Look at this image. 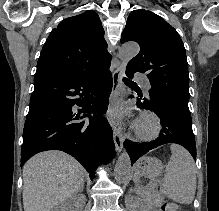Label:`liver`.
I'll use <instances>...</instances> for the list:
<instances>
[{"instance_id":"obj_1","label":"liver","mask_w":219,"mask_h":211,"mask_svg":"<svg viewBox=\"0 0 219 211\" xmlns=\"http://www.w3.org/2000/svg\"><path fill=\"white\" fill-rule=\"evenodd\" d=\"M85 169L64 151H42L23 165L24 211H53L83 187Z\"/></svg>"}]
</instances>
